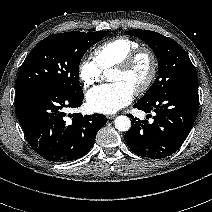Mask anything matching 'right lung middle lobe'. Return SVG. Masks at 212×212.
<instances>
[{
    "label": "right lung middle lobe",
    "mask_w": 212,
    "mask_h": 212,
    "mask_svg": "<svg viewBox=\"0 0 212 212\" xmlns=\"http://www.w3.org/2000/svg\"><path fill=\"white\" fill-rule=\"evenodd\" d=\"M106 34L107 31H72L48 36L26 57L15 88L49 86L71 96L82 95L78 74L80 60Z\"/></svg>",
    "instance_id": "1"
}]
</instances>
